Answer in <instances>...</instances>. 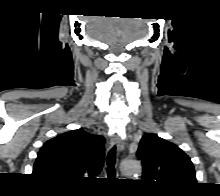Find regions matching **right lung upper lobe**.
Segmentation results:
<instances>
[{
	"mask_svg": "<svg viewBox=\"0 0 220 196\" xmlns=\"http://www.w3.org/2000/svg\"><path fill=\"white\" fill-rule=\"evenodd\" d=\"M102 136L82 129L72 130L48 140L40 149L33 175L65 188L77 187L84 177L95 178L104 163Z\"/></svg>",
	"mask_w": 220,
	"mask_h": 196,
	"instance_id": "1",
	"label": "right lung upper lobe"
}]
</instances>
